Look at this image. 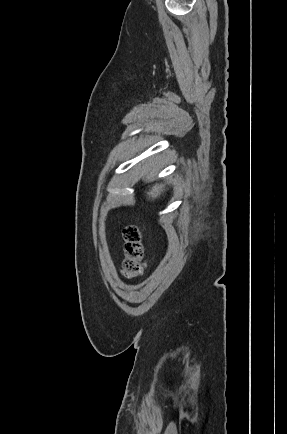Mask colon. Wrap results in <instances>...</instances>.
<instances>
[{
    "instance_id": "1",
    "label": "colon",
    "mask_w": 287,
    "mask_h": 434,
    "mask_svg": "<svg viewBox=\"0 0 287 434\" xmlns=\"http://www.w3.org/2000/svg\"><path fill=\"white\" fill-rule=\"evenodd\" d=\"M124 261L122 275L126 279L138 277L143 273L145 250L139 228L128 225L123 229Z\"/></svg>"
}]
</instances>
